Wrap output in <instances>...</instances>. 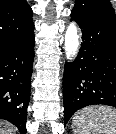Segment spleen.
<instances>
[{
  "label": "spleen",
  "instance_id": "3e777b00",
  "mask_svg": "<svg viewBox=\"0 0 116 134\" xmlns=\"http://www.w3.org/2000/svg\"><path fill=\"white\" fill-rule=\"evenodd\" d=\"M72 130L74 134H116V109L87 107L73 117Z\"/></svg>",
  "mask_w": 116,
  "mask_h": 134
}]
</instances>
